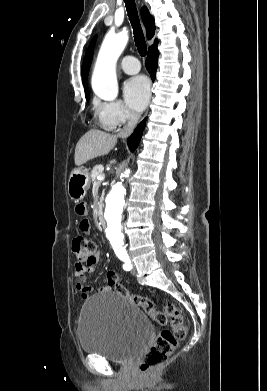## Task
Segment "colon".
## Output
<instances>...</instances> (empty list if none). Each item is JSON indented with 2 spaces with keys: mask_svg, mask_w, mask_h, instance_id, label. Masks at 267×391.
<instances>
[{
  "mask_svg": "<svg viewBox=\"0 0 267 391\" xmlns=\"http://www.w3.org/2000/svg\"><path fill=\"white\" fill-rule=\"evenodd\" d=\"M72 251L79 266H90L97 261V245L91 238L81 235L72 241ZM106 283L116 292L132 303L141 307L150 318L161 326L169 324L171 329L161 330L153 343L141 359L139 370L143 375H149L168 361L176 350L179 341L187 335V328L179 309L173 304H165L162 310H158L154 303L147 297L133 293L118 282V275L109 271L106 274Z\"/></svg>",
  "mask_w": 267,
  "mask_h": 391,
  "instance_id": "1",
  "label": "colon"
}]
</instances>
